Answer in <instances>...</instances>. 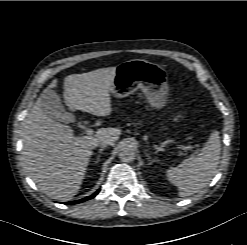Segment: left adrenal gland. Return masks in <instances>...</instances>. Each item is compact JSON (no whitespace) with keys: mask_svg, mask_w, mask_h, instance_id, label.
Masks as SVG:
<instances>
[{"mask_svg":"<svg viewBox=\"0 0 247 245\" xmlns=\"http://www.w3.org/2000/svg\"><path fill=\"white\" fill-rule=\"evenodd\" d=\"M146 156L148 157V164L149 165H151L153 162L157 161V159H152L149 153H147Z\"/></svg>","mask_w":247,"mask_h":245,"instance_id":"obj_1","label":"left adrenal gland"}]
</instances>
